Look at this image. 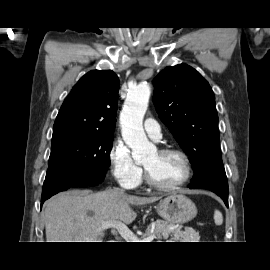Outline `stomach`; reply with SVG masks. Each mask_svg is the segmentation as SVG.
<instances>
[{
    "mask_svg": "<svg viewBox=\"0 0 270 270\" xmlns=\"http://www.w3.org/2000/svg\"><path fill=\"white\" fill-rule=\"evenodd\" d=\"M158 214L171 224H184L197 214L195 204L185 195L173 193L161 199L156 206Z\"/></svg>",
    "mask_w": 270,
    "mask_h": 270,
    "instance_id": "stomach-1",
    "label": "stomach"
}]
</instances>
